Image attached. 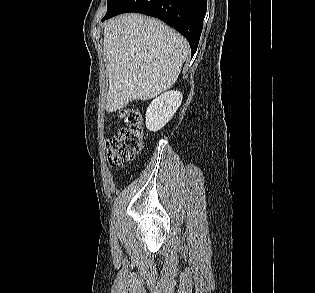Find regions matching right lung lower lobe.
<instances>
[{
    "instance_id": "obj_1",
    "label": "right lung lower lobe",
    "mask_w": 315,
    "mask_h": 293,
    "mask_svg": "<svg viewBox=\"0 0 315 293\" xmlns=\"http://www.w3.org/2000/svg\"><path fill=\"white\" fill-rule=\"evenodd\" d=\"M207 10L206 0H112L102 21L126 12L157 17L179 31L196 52Z\"/></svg>"
}]
</instances>
